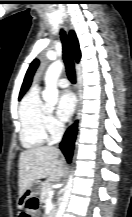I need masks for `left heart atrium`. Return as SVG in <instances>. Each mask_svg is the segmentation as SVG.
<instances>
[{
  "label": "left heart atrium",
  "instance_id": "39dd6f15",
  "mask_svg": "<svg viewBox=\"0 0 132 217\" xmlns=\"http://www.w3.org/2000/svg\"><path fill=\"white\" fill-rule=\"evenodd\" d=\"M76 108V98L70 91H64L59 98L57 115L60 120H68Z\"/></svg>",
  "mask_w": 132,
  "mask_h": 217
}]
</instances>
